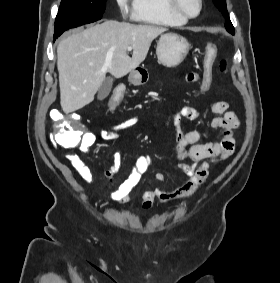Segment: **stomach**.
<instances>
[{"mask_svg": "<svg viewBox=\"0 0 280 283\" xmlns=\"http://www.w3.org/2000/svg\"><path fill=\"white\" fill-rule=\"evenodd\" d=\"M190 45L187 39L177 33L169 32L160 36L157 42L156 54L160 64L173 68L186 58ZM146 70L135 69L129 75V82L141 85L145 82Z\"/></svg>", "mask_w": 280, "mask_h": 283, "instance_id": "obj_1", "label": "stomach"}]
</instances>
